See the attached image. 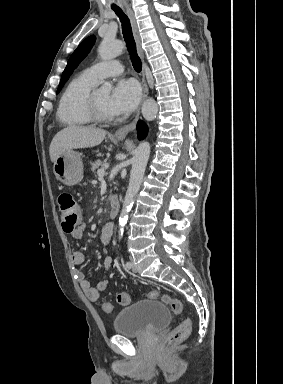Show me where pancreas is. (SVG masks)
<instances>
[{
    "label": "pancreas",
    "mask_w": 283,
    "mask_h": 384,
    "mask_svg": "<svg viewBox=\"0 0 283 384\" xmlns=\"http://www.w3.org/2000/svg\"><path fill=\"white\" fill-rule=\"evenodd\" d=\"M100 166H102V162L101 160H97V162H94V164H92V172H98Z\"/></svg>",
    "instance_id": "cf45deb5"
}]
</instances>
